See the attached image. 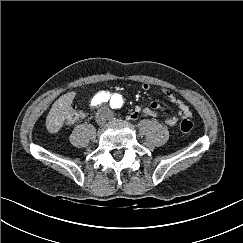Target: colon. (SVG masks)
Instances as JSON below:
<instances>
[{
  "instance_id": "colon-1",
  "label": "colon",
  "mask_w": 243,
  "mask_h": 243,
  "mask_svg": "<svg viewBox=\"0 0 243 243\" xmlns=\"http://www.w3.org/2000/svg\"><path fill=\"white\" fill-rule=\"evenodd\" d=\"M83 118V113L76 107H72L66 116V123L68 125H74L78 123ZM193 124L190 120L185 119L180 123V130L183 134H188L191 132Z\"/></svg>"
}]
</instances>
